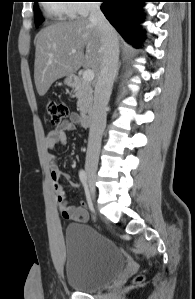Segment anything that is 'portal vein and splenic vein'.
Here are the masks:
<instances>
[{
	"label": "portal vein and splenic vein",
	"instance_id": "portal-vein-and-splenic-vein-1",
	"mask_svg": "<svg viewBox=\"0 0 195 299\" xmlns=\"http://www.w3.org/2000/svg\"><path fill=\"white\" fill-rule=\"evenodd\" d=\"M71 52H72V53H75L76 50H75V49H72ZM94 76H95V75H94V71L91 70V69H86V70L83 72V75H82L83 79H84L85 81H87V82L92 81V80L94 79Z\"/></svg>",
	"mask_w": 195,
	"mask_h": 299
}]
</instances>
